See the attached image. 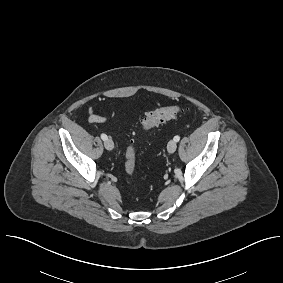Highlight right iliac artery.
I'll list each match as a JSON object with an SVG mask.
<instances>
[{
    "instance_id": "obj_1",
    "label": "right iliac artery",
    "mask_w": 283,
    "mask_h": 283,
    "mask_svg": "<svg viewBox=\"0 0 283 283\" xmlns=\"http://www.w3.org/2000/svg\"><path fill=\"white\" fill-rule=\"evenodd\" d=\"M107 138H108V137H107V135H106V134H101V139H102V140H104V141H105Z\"/></svg>"
}]
</instances>
